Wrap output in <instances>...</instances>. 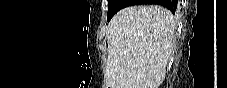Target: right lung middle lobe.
Returning a JSON list of instances; mask_svg holds the SVG:
<instances>
[{
	"label": "right lung middle lobe",
	"instance_id": "1",
	"mask_svg": "<svg viewBox=\"0 0 227 88\" xmlns=\"http://www.w3.org/2000/svg\"><path fill=\"white\" fill-rule=\"evenodd\" d=\"M129 0H108V13L107 21L109 22L111 18L122 8L126 7Z\"/></svg>",
	"mask_w": 227,
	"mask_h": 88
}]
</instances>
